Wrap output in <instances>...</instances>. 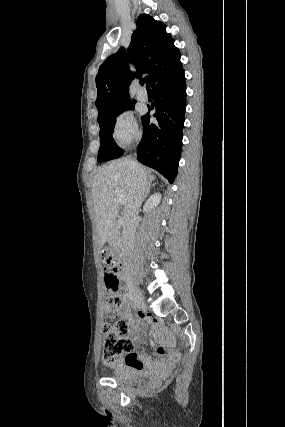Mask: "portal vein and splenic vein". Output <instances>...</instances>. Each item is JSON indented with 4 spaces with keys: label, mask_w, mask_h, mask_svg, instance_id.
I'll return each mask as SVG.
<instances>
[{
    "label": "portal vein and splenic vein",
    "mask_w": 285,
    "mask_h": 427,
    "mask_svg": "<svg viewBox=\"0 0 285 427\" xmlns=\"http://www.w3.org/2000/svg\"><path fill=\"white\" fill-rule=\"evenodd\" d=\"M117 200H118V203H119V204H121V205H124V204H125L124 197H123V195H122V194H120V193L117 195Z\"/></svg>",
    "instance_id": "18ae733b"
}]
</instances>
